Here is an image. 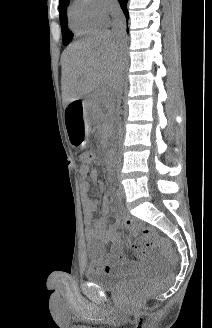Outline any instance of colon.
<instances>
[{
  "mask_svg": "<svg viewBox=\"0 0 212 328\" xmlns=\"http://www.w3.org/2000/svg\"><path fill=\"white\" fill-rule=\"evenodd\" d=\"M76 147L79 149L81 146H76ZM78 153H79L80 160L83 162V163L79 164V172L80 173H92L93 168H92V164L90 162L93 159V154L89 151H83L81 149L78 150ZM142 233L148 238L152 237V235H153L152 231L148 228L143 229ZM153 240L157 245H159L162 248L163 253L165 254L168 261L171 263H176L177 255L172 250L169 242H167L163 238L157 237V236L154 237ZM155 288H156L155 285L148 284V285L142 287L141 289L137 290L135 293V297L142 298L143 296L151 293Z\"/></svg>",
  "mask_w": 212,
  "mask_h": 328,
  "instance_id": "obj_1",
  "label": "colon"
}]
</instances>
